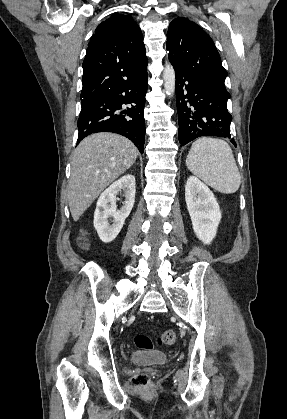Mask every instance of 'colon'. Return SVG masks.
<instances>
[{
  "label": "colon",
  "mask_w": 287,
  "mask_h": 419,
  "mask_svg": "<svg viewBox=\"0 0 287 419\" xmlns=\"http://www.w3.org/2000/svg\"><path fill=\"white\" fill-rule=\"evenodd\" d=\"M79 244L83 247L88 245V240L85 235H82L79 238ZM177 341V334L173 330H168L163 332L157 339L159 345L171 346L174 345ZM135 345L139 349L151 350L153 348V342L151 338L145 334H138L135 336ZM149 378L144 373H139L134 375L129 383L133 387H142L148 384Z\"/></svg>",
  "instance_id": "obj_1"
}]
</instances>
